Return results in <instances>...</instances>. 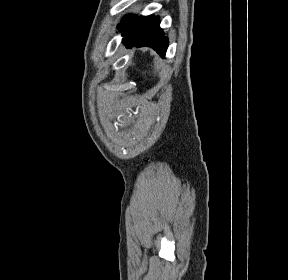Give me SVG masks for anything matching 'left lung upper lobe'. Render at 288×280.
I'll list each match as a JSON object with an SVG mask.
<instances>
[{"label": "left lung upper lobe", "instance_id": "1", "mask_svg": "<svg viewBox=\"0 0 288 280\" xmlns=\"http://www.w3.org/2000/svg\"><path fill=\"white\" fill-rule=\"evenodd\" d=\"M131 16H132V15L125 16V17L122 19L121 23L118 25L117 28H118L119 30L122 29V28L125 26V24L128 22V20L131 18Z\"/></svg>", "mask_w": 288, "mask_h": 280}]
</instances>
